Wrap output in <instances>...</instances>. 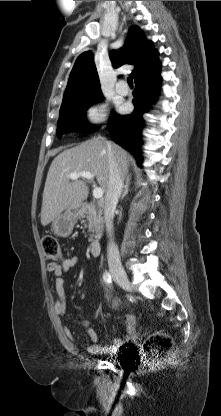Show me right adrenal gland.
Instances as JSON below:
<instances>
[{
  "label": "right adrenal gland",
  "mask_w": 221,
  "mask_h": 416,
  "mask_svg": "<svg viewBox=\"0 0 221 416\" xmlns=\"http://www.w3.org/2000/svg\"><path fill=\"white\" fill-rule=\"evenodd\" d=\"M129 185H130V177H127L126 183H125V186H124V190H123V193H122V196H121V200H123L124 197L128 194Z\"/></svg>",
  "instance_id": "obj_1"
}]
</instances>
